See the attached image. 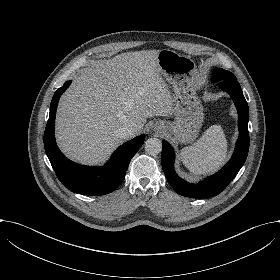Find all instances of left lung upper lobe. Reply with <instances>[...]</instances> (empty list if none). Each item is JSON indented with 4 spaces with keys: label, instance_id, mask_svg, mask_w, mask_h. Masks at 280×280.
Returning a JSON list of instances; mask_svg holds the SVG:
<instances>
[{
    "label": "left lung upper lobe",
    "instance_id": "1",
    "mask_svg": "<svg viewBox=\"0 0 280 280\" xmlns=\"http://www.w3.org/2000/svg\"><path fill=\"white\" fill-rule=\"evenodd\" d=\"M225 80L237 81L231 72L221 68H215L212 72V82H222Z\"/></svg>",
    "mask_w": 280,
    "mask_h": 280
}]
</instances>
